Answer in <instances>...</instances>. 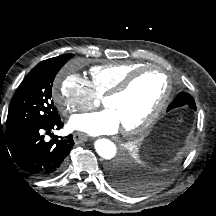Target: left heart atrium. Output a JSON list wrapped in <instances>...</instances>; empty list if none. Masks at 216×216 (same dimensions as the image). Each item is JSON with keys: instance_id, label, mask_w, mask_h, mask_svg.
Instances as JSON below:
<instances>
[{"instance_id": "obj_1", "label": "left heart atrium", "mask_w": 216, "mask_h": 216, "mask_svg": "<svg viewBox=\"0 0 216 216\" xmlns=\"http://www.w3.org/2000/svg\"><path fill=\"white\" fill-rule=\"evenodd\" d=\"M68 127L93 136L105 135L117 132L120 121L116 113L106 107L99 112L73 115L68 122Z\"/></svg>"}]
</instances>
